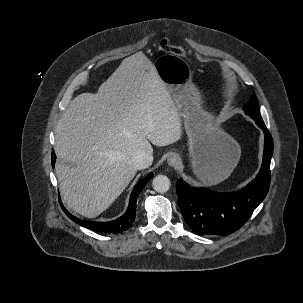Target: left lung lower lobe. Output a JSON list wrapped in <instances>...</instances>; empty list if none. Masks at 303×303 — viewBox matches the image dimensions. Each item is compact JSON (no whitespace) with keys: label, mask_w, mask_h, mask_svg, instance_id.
<instances>
[{"label":"left lung lower lobe","mask_w":303,"mask_h":303,"mask_svg":"<svg viewBox=\"0 0 303 303\" xmlns=\"http://www.w3.org/2000/svg\"><path fill=\"white\" fill-rule=\"evenodd\" d=\"M256 121L265 135L261 169L256 178L235 193H218L207 188L190 187L178 180V205L190 228L199 235L227 234L238 230L268 193L272 136L264 122Z\"/></svg>","instance_id":"left-lung-lower-lobe-1"}]
</instances>
